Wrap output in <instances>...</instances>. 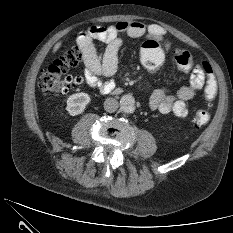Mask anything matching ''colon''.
<instances>
[{
    "label": "colon",
    "mask_w": 233,
    "mask_h": 233,
    "mask_svg": "<svg viewBox=\"0 0 233 233\" xmlns=\"http://www.w3.org/2000/svg\"><path fill=\"white\" fill-rule=\"evenodd\" d=\"M168 42L164 39L147 38L141 48L140 58L142 65L149 72L160 68L165 59V49ZM83 57L82 50L77 47L66 51L56 58L48 67L43 69L39 77V87L46 93L62 95L69 92L74 86L80 84L81 79L67 75L69 70L76 67ZM173 60L177 68L183 72L192 70L193 60L191 54L184 49L173 51ZM200 67L206 75L205 97L211 102L216 95V81L209 63L202 61ZM210 120V113L200 109L192 117V125L200 128Z\"/></svg>",
    "instance_id": "1"
}]
</instances>
